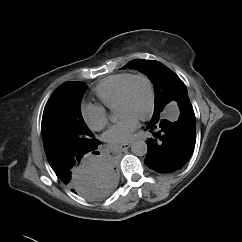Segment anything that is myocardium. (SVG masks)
I'll use <instances>...</instances> for the list:
<instances>
[{"mask_svg": "<svg viewBox=\"0 0 242 242\" xmlns=\"http://www.w3.org/2000/svg\"><path fill=\"white\" fill-rule=\"evenodd\" d=\"M137 79H142L143 81H145L148 86V90H149L148 107H147L146 111L141 116L138 117L140 120L145 121V120H148L149 118H151V116L153 115L154 109H155V103H156L155 86H154L153 81L151 80V78L148 75L143 74V73L131 75V77L126 81V83L124 84V86L121 90L120 96L118 98L117 106H119L120 104H123L127 101L128 96H129L130 87H131L132 83Z\"/></svg>", "mask_w": 242, "mask_h": 242, "instance_id": "1", "label": "myocardium"}]
</instances>
